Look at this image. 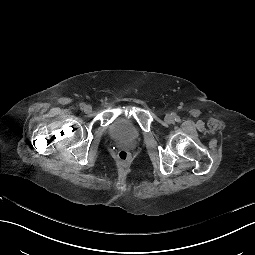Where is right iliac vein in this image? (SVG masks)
I'll list each match as a JSON object with an SVG mask.
<instances>
[{"label": "right iliac vein", "mask_w": 255, "mask_h": 255, "mask_svg": "<svg viewBox=\"0 0 255 255\" xmlns=\"http://www.w3.org/2000/svg\"><path fill=\"white\" fill-rule=\"evenodd\" d=\"M83 110H84L85 113H91L92 107L90 105H86Z\"/></svg>", "instance_id": "63e3f726"}]
</instances>
